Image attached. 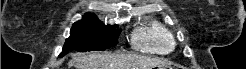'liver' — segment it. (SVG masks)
Returning <instances> with one entry per match:
<instances>
[{"instance_id": "1", "label": "liver", "mask_w": 246, "mask_h": 69, "mask_svg": "<svg viewBox=\"0 0 246 69\" xmlns=\"http://www.w3.org/2000/svg\"><path fill=\"white\" fill-rule=\"evenodd\" d=\"M73 63L76 69H150L162 65L158 59L110 53L77 54Z\"/></svg>"}]
</instances>
